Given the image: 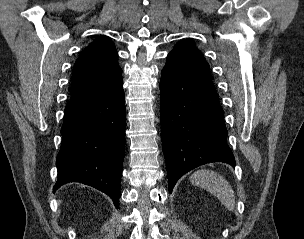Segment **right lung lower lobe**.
<instances>
[{"mask_svg":"<svg viewBox=\"0 0 304 239\" xmlns=\"http://www.w3.org/2000/svg\"><path fill=\"white\" fill-rule=\"evenodd\" d=\"M122 71L66 105L54 191L68 182L92 186L119 207L125 152Z\"/></svg>","mask_w":304,"mask_h":239,"instance_id":"1","label":"right lung lower lobe"}]
</instances>
